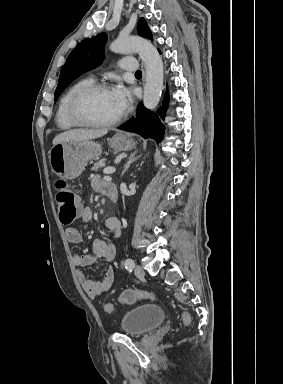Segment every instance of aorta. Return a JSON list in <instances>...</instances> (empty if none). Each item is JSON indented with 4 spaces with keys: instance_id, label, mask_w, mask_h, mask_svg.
I'll return each mask as SVG.
<instances>
[{
    "instance_id": "1",
    "label": "aorta",
    "mask_w": 283,
    "mask_h": 384,
    "mask_svg": "<svg viewBox=\"0 0 283 384\" xmlns=\"http://www.w3.org/2000/svg\"><path fill=\"white\" fill-rule=\"evenodd\" d=\"M114 53L126 54L137 52L146 66L143 103L148 109H154L161 97L164 81L162 58L155 46L138 36L118 38L110 45Z\"/></svg>"
}]
</instances>
